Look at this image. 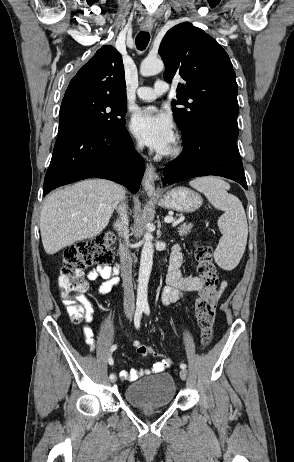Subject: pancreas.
Returning a JSON list of instances; mask_svg holds the SVG:
<instances>
[{
    "label": "pancreas",
    "instance_id": "obj_1",
    "mask_svg": "<svg viewBox=\"0 0 294 462\" xmlns=\"http://www.w3.org/2000/svg\"><path fill=\"white\" fill-rule=\"evenodd\" d=\"M191 230H192V224L183 223L182 225H180L178 232L181 236H184L190 233Z\"/></svg>",
    "mask_w": 294,
    "mask_h": 462
}]
</instances>
